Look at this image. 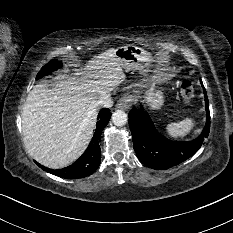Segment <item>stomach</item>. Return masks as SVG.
Listing matches in <instances>:
<instances>
[{"instance_id": "0dacf381", "label": "stomach", "mask_w": 233, "mask_h": 233, "mask_svg": "<svg viewBox=\"0 0 233 233\" xmlns=\"http://www.w3.org/2000/svg\"><path fill=\"white\" fill-rule=\"evenodd\" d=\"M115 54L126 71L138 70L141 73L149 71L146 69V65L142 63L149 61L150 54L142 48L134 45L121 46L115 49ZM163 82L164 78L161 75L156 77V83L161 84ZM144 98L152 110L160 109L164 104L163 92L155 90L154 85L145 93Z\"/></svg>"}]
</instances>
